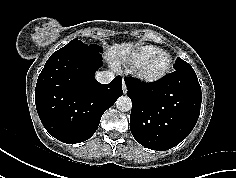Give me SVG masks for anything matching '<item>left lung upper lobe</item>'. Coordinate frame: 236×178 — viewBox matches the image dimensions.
Returning <instances> with one entry per match:
<instances>
[{"mask_svg":"<svg viewBox=\"0 0 236 178\" xmlns=\"http://www.w3.org/2000/svg\"><path fill=\"white\" fill-rule=\"evenodd\" d=\"M174 69H175V71H180V72L194 71L193 68L190 66V64H188L187 62H185L181 58L177 59L175 65H174Z\"/></svg>","mask_w":236,"mask_h":178,"instance_id":"obj_1","label":"left lung upper lobe"}]
</instances>
